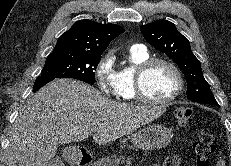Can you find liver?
<instances>
[{
	"mask_svg": "<svg viewBox=\"0 0 231 166\" xmlns=\"http://www.w3.org/2000/svg\"><path fill=\"white\" fill-rule=\"evenodd\" d=\"M165 111L161 106L111 101L83 82L56 79L21 108L10 132L7 166H47L58 144L82 141L95 132V142L105 145Z\"/></svg>",
	"mask_w": 231,
	"mask_h": 166,
	"instance_id": "1",
	"label": "liver"
}]
</instances>
